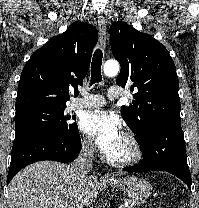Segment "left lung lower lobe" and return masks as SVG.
Masks as SVG:
<instances>
[{"instance_id":"1","label":"left lung lower lobe","mask_w":199,"mask_h":208,"mask_svg":"<svg viewBox=\"0 0 199 208\" xmlns=\"http://www.w3.org/2000/svg\"><path fill=\"white\" fill-rule=\"evenodd\" d=\"M143 159L125 167L128 172L167 171L183 180L191 190V174L187 165L181 121H169L153 126L146 139L139 143Z\"/></svg>"}]
</instances>
